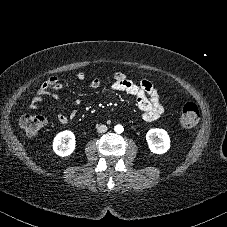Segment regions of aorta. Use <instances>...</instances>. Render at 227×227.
<instances>
[{
	"instance_id": "1",
	"label": "aorta",
	"mask_w": 227,
	"mask_h": 227,
	"mask_svg": "<svg viewBox=\"0 0 227 227\" xmlns=\"http://www.w3.org/2000/svg\"><path fill=\"white\" fill-rule=\"evenodd\" d=\"M114 130H115L116 133L120 134L124 131V128H123L122 125L119 124V125L115 126Z\"/></svg>"
}]
</instances>
